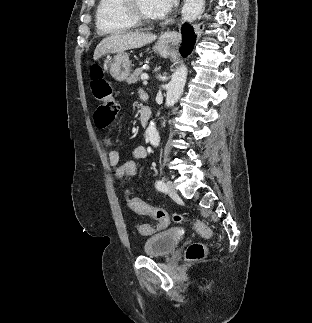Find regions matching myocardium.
Instances as JSON below:
<instances>
[{
  "label": "myocardium",
  "mask_w": 312,
  "mask_h": 323,
  "mask_svg": "<svg viewBox=\"0 0 312 323\" xmlns=\"http://www.w3.org/2000/svg\"><path fill=\"white\" fill-rule=\"evenodd\" d=\"M138 0H124L121 10L122 15L128 17L131 15V21L135 25H155V18H150L149 12H144L143 8H139Z\"/></svg>",
  "instance_id": "f54148a6"
}]
</instances>
